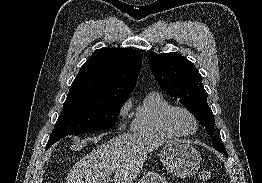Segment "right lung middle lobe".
Returning a JSON list of instances; mask_svg holds the SVG:
<instances>
[{
    "mask_svg": "<svg viewBox=\"0 0 262 183\" xmlns=\"http://www.w3.org/2000/svg\"><path fill=\"white\" fill-rule=\"evenodd\" d=\"M126 99L88 94L68 95L47 145L67 135L112 128Z\"/></svg>",
    "mask_w": 262,
    "mask_h": 183,
    "instance_id": "right-lung-middle-lobe-1",
    "label": "right lung middle lobe"
}]
</instances>
